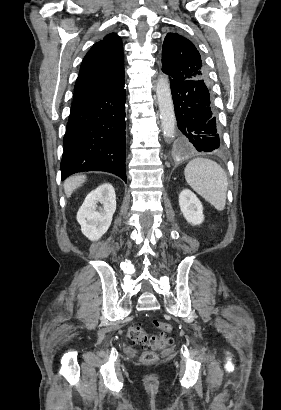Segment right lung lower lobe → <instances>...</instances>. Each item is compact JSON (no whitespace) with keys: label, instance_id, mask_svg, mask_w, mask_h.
Listing matches in <instances>:
<instances>
[{"label":"right lung lower lobe","instance_id":"1","mask_svg":"<svg viewBox=\"0 0 281 410\" xmlns=\"http://www.w3.org/2000/svg\"><path fill=\"white\" fill-rule=\"evenodd\" d=\"M124 83L74 102L64 136L62 180L82 171H106L126 182Z\"/></svg>","mask_w":281,"mask_h":410}]
</instances>
